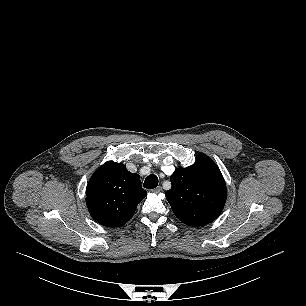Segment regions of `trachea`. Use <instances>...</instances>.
I'll return each instance as SVG.
<instances>
[{
    "instance_id": "3493384b",
    "label": "trachea",
    "mask_w": 306,
    "mask_h": 306,
    "mask_svg": "<svg viewBox=\"0 0 306 306\" xmlns=\"http://www.w3.org/2000/svg\"><path fill=\"white\" fill-rule=\"evenodd\" d=\"M158 185V177L156 175H149L146 177L145 181H144V187L146 189H154L156 188Z\"/></svg>"
}]
</instances>
